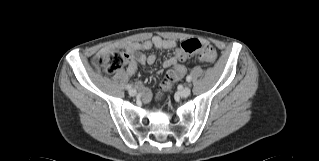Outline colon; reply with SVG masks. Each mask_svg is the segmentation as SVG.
<instances>
[{"label": "colon", "instance_id": "obj_1", "mask_svg": "<svg viewBox=\"0 0 319 161\" xmlns=\"http://www.w3.org/2000/svg\"><path fill=\"white\" fill-rule=\"evenodd\" d=\"M201 43L198 39H187L180 44V50L176 54V59L179 62L184 61L187 57L201 50ZM201 58L205 61L215 62L218 60L216 51L211 47H206L201 52ZM128 57L122 51H110L97 55L93 59V65L101 72L115 73L125 66ZM179 69H171L164 77L162 88L164 90L172 89L178 82Z\"/></svg>", "mask_w": 319, "mask_h": 161}]
</instances>
